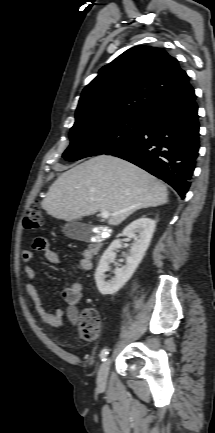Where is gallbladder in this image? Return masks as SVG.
Returning a JSON list of instances; mask_svg holds the SVG:
<instances>
[{"mask_svg":"<svg viewBox=\"0 0 215 433\" xmlns=\"http://www.w3.org/2000/svg\"><path fill=\"white\" fill-rule=\"evenodd\" d=\"M62 232L68 238L86 241L89 240L91 227L88 224L79 221H71L63 226Z\"/></svg>","mask_w":215,"mask_h":433,"instance_id":"gallbladder-1","label":"gallbladder"}]
</instances>
